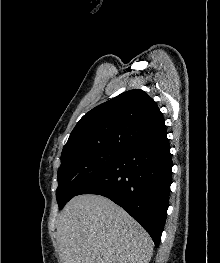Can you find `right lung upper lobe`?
<instances>
[{
  "instance_id": "cb5924a9",
  "label": "right lung upper lobe",
  "mask_w": 220,
  "mask_h": 263,
  "mask_svg": "<svg viewBox=\"0 0 220 263\" xmlns=\"http://www.w3.org/2000/svg\"><path fill=\"white\" fill-rule=\"evenodd\" d=\"M164 133L165 121L156 102L142 90H129L86 113L71 132L62 155L91 148L124 150L138 140Z\"/></svg>"
}]
</instances>
